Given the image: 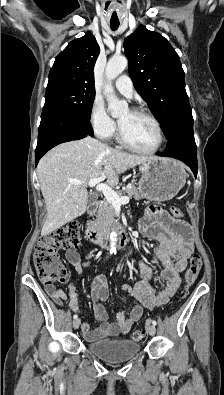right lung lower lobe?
I'll list each match as a JSON object with an SVG mask.
<instances>
[{"label": "right lung lower lobe", "mask_w": 224, "mask_h": 395, "mask_svg": "<svg viewBox=\"0 0 224 395\" xmlns=\"http://www.w3.org/2000/svg\"><path fill=\"white\" fill-rule=\"evenodd\" d=\"M92 135L93 130L89 121L58 108L44 106L35 150L36 165L40 158L54 146Z\"/></svg>", "instance_id": "obj_1"}]
</instances>
